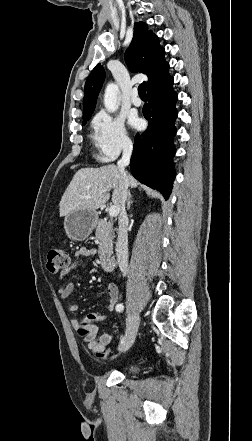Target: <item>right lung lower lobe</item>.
<instances>
[{
  "label": "right lung lower lobe",
  "instance_id": "1",
  "mask_svg": "<svg viewBox=\"0 0 252 441\" xmlns=\"http://www.w3.org/2000/svg\"><path fill=\"white\" fill-rule=\"evenodd\" d=\"M169 64L159 80L147 89L148 104L143 107L148 129L135 136L130 169L141 183L161 191L168 199L175 178L172 157L175 154L173 137L177 117L173 78L168 73Z\"/></svg>",
  "mask_w": 252,
  "mask_h": 441
}]
</instances>
